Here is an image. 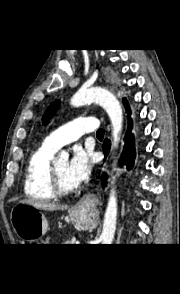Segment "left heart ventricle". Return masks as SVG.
I'll return each instance as SVG.
<instances>
[{
    "mask_svg": "<svg viewBox=\"0 0 180 294\" xmlns=\"http://www.w3.org/2000/svg\"><path fill=\"white\" fill-rule=\"evenodd\" d=\"M55 166L62 186L68 190L76 188L77 186L68 177V162L66 160H59L56 161Z\"/></svg>",
    "mask_w": 180,
    "mask_h": 294,
    "instance_id": "1",
    "label": "left heart ventricle"
}]
</instances>
